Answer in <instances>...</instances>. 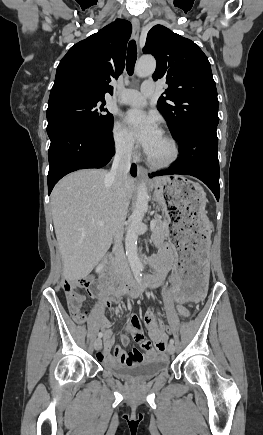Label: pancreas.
<instances>
[{
  "label": "pancreas",
  "mask_w": 263,
  "mask_h": 435,
  "mask_svg": "<svg viewBox=\"0 0 263 435\" xmlns=\"http://www.w3.org/2000/svg\"><path fill=\"white\" fill-rule=\"evenodd\" d=\"M169 222V219L164 218L162 220V217L156 219V227L151 236V239L156 246L162 243L167 236L169 232Z\"/></svg>",
  "instance_id": "obj_1"
}]
</instances>
